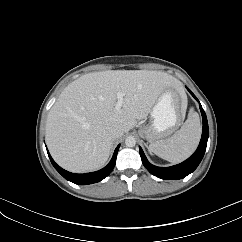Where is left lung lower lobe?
Wrapping results in <instances>:
<instances>
[{
    "label": "left lung lower lobe",
    "mask_w": 242,
    "mask_h": 242,
    "mask_svg": "<svg viewBox=\"0 0 242 242\" xmlns=\"http://www.w3.org/2000/svg\"><path fill=\"white\" fill-rule=\"evenodd\" d=\"M189 92L198 101V99L195 97V95L190 90H189ZM199 107H200V111H201L202 119H203L202 137H201V141H200V144H199L197 150L186 161H184L180 164L171 166V167H166V168L156 167L148 162L143 150L141 149V147H139V152H140V156H141L143 165L146 167V169L151 174H153L154 176L161 178V179L176 180V179H182V178L186 177L187 175L192 173L197 168V166L199 165V163L201 162V160L204 156L206 146H207V140H208V136H209V129H208V122H207L206 114L200 103H199Z\"/></svg>",
    "instance_id": "1"
}]
</instances>
